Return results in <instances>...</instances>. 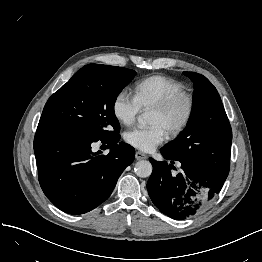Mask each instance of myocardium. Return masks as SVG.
<instances>
[{
  "instance_id": "f54148a6",
  "label": "myocardium",
  "mask_w": 262,
  "mask_h": 262,
  "mask_svg": "<svg viewBox=\"0 0 262 262\" xmlns=\"http://www.w3.org/2000/svg\"><path fill=\"white\" fill-rule=\"evenodd\" d=\"M179 105H183L184 111L181 119L168 129L170 136H177L182 133L190 124L195 110L193 96L185 91L173 94L155 104L152 109L160 113H169Z\"/></svg>"
}]
</instances>
